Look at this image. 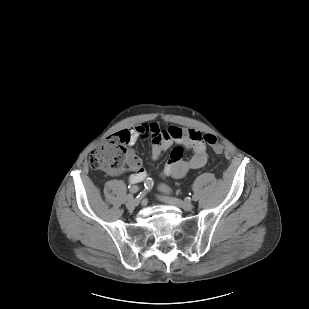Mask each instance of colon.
<instances>
[{
  "label": "colon",
  "mask_w": 309,
  "mask_h": 309,
  "mask_svg": "<svg viewBox=\"0 0 309 309\" xmlns=\"http://www.w3.org/2000/svg\"><path fill=\"white\" fill-rule=\"evenodd\" d=\"M203 141L208 144L214 152L221 153L223 145L211 134L203 135ZM127 139L119 135H113L105 139L89 155L88 163L92 169L103 170L110 173L121 171L125 166Z\"/></svg>",
  "instance_id": "obj_1"
}]
</instances>
